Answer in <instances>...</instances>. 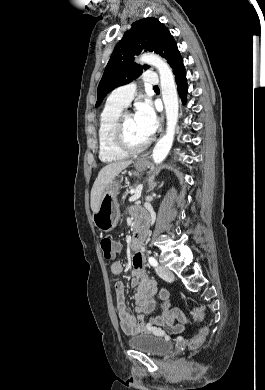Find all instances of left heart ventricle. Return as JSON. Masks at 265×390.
Returning a JSON list of instances; mask_svg holds the SVG:
<instances>
[{"label":"left heart ventricle","mask_w":265,"mask_h":390,"mask_svg":"<svg viewBox=\"0 0 265 390\" xmlns=\"http://www.w3.org/2000/svg\"><path fill=\"white\" fill-rule=\"evenodd\" d=\"M124 131H125V136L129 144L132 146H140L143 144L147 139L143 136V134L140 132L134 116H128L125 119L124 123Z\"/></svg>","instance_id":"1"}]
</instances>
